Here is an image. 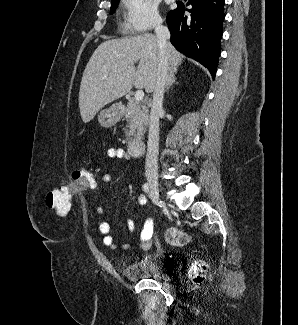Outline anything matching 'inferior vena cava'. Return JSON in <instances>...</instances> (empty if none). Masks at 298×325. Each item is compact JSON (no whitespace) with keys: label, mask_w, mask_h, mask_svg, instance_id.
<instances>
[{"label":"inferior vena cava","mask_w":298,"mask_h":325,"mask_svg":"<svg viewBox=\"0 0 298 325\" xmlns=\"http://www.w3.org/2000/svg\"><path fill=\"white\" fill-rule=\"evenodd\" d=\"M154 26V32L158 38L159 58L156 84L150 110L145 175L147 179H153V181H156V179H158L157 167L159 148V116L163 110V94L169 74L168 52L166 44L171 34L168 26H163L162 20H155Z\"/></svg>","instance_id":"obj_1"}]
</instances>
